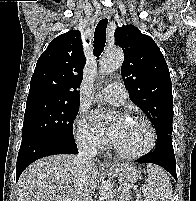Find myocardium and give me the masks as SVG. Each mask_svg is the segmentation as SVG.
<instances>
[{"label":"myocardium","mask_w":196,"mask_h":201,"mask_svg":"<svg viewBox=\"0 0 196 201\" xmlns=\"http://www.w3.org/2000/svg\"><path fill=\"white\" fill-rule=\"evenodd\" d=\"M133 120L140 122L141 124H143L148 131V141L146 146L138 151V152H134V153H129V152H125L122 149H120L115 143L113 144V148L115 150V152L117 153L118 156L124 158V159H139L142 158L143 156L149 154L156 143V133H155V129L152 125V123L144 118V117H140V116H135L133 117Z\"/></svg>","instance_id":"f54148a6"}]
</instances>
